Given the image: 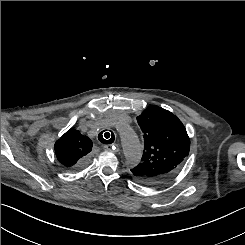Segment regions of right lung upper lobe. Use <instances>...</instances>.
<instances>
[{
    "instance_id": "right-lung-upper-lobe-1",
    "label": "right lung upper lobe",
    "mask_w": 245,
    "mask_h": 245,
    "mask_svg": "<svg viewBox=\"0 0 245 245\" xmlns=\"http://www.w3.org/2000/svg\"><path fill=\"white\" fill-rule=\"evenodd\" d=\"M92 141L71 128L55 143L58 161L66 168H76L92 149Z\"/></svg>"
}]
</instances>
